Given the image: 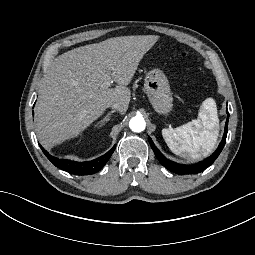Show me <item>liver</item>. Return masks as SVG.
<instances>
[{
    "mask_svg": "<svg viewBox=\"0 0 255 255\" xmlns=\"http://www.w3.org/2000/svg\"><path fill=\"white\" fill-rule=\"evenodd\" d=\"M158 39L157 35L109 38L70 50L51 62L35 107L41 143L51 146L77 136L114 102L125 114L131 98L127 85ZM107 76L118 84L115 88H100Z\"/></svg>",
    "mask_w": 255,
    "mask_h": 255,
    "instance_id": "1",
    "label": "liver"
}]
</instances>
